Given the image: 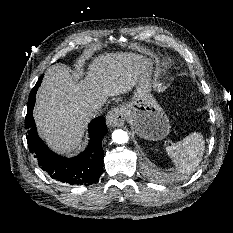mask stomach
Here are the masks:
<instances>
[{
    "mask_svg": "<svg viewBox=\"0 0 233 233\" xmlns=\"http://www.w3.org/2000/svg\"><path fill=\"white\" fill-rule=\"evenodd\" d=\"M123 110L135 133L146 140L159 141L170 132L169 119L151 94L149 63L138 79L136 89Z\"/></svg>",
    "mask_w": 233,
    "mask_h": 233,
    "instance_id": "stomach-1",
    "label": "stomach"
}]
</instances>
